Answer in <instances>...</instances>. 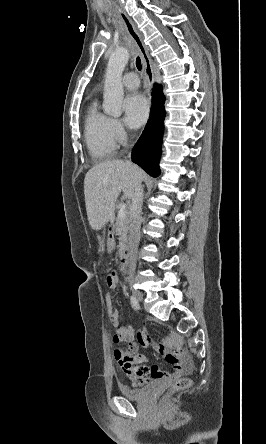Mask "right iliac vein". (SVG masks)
<instances>
[{"label": "right iliac vein", "instance_id": "63e3f726", "mask_svg": "<svg viewBox=\"0 0 266 444\" xmlns=\"http://www.w3.org/2000/svg\"><path fill=\"white\" fill-rule=\"evenodd\" d=\"M129 284L131 286H133V284H134L133 280H131L129 282ZM132 292H133V296L136 298L137 301L141 302L143 300L142 293L139 290L132 288Z\"/></svg>", "mask_w": 266, "mask_h": 444}]
</instances>
